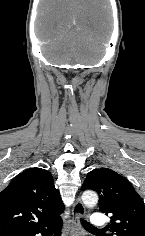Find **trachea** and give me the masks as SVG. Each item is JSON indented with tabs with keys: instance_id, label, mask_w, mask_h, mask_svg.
I'll use <instances>...</instances> for the list:
<instances>
[{
	"instance_id": "obj_1",
	"label": "trachea",
	"mask_w": 145,
	"mask_h": 236,
	"mask_svg": "<svg viewBox=\"0 0 145 236\" xmlns=\"http://www.w3.org/2000/svg\"><path fill=\"white\" fill-rule=\"evenodd\" d=\"M81 223H82L83 227H85V228L97 229L84 219H81Z\"/></svg>"
}]
</instances>
